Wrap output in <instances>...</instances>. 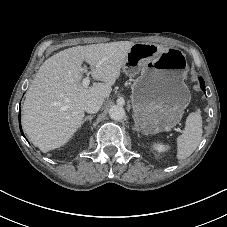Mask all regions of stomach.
<instances>
[{
	"mask_svg": "<svg viewBox=\"0 0 227 227\" xmlns=\"http://www.w3.org/2000/svg\"><path fill=\"white\" fill-rule=\"evenodd\" d=\"M123 72L139 75L132 85V105L136 125L144 134L169 131L180 121L191 100L184 80L188 65L175 48L135 43L129 50Z\"/></svg>",
	"mask_w": 227,
	"mask_h": 227,
	"instance_id": "1",
	"label": "stomach"
}]
</instances>
